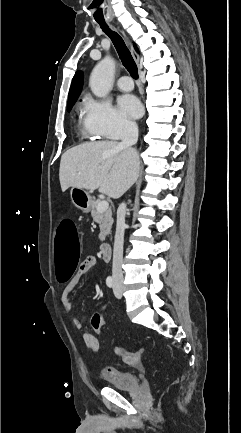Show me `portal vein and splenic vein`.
Instances as JSON below:
<instances>
[{
	"mask_svg": "<svg viewBox=\"0 0 241 433\" xmlns=\"http://www.w3.org/2000/svg\"><path fill=\"white\" fill-rule=\"evenodd\" d=\"M109 207V203L106 200H103L101 202H99L98 206H97V210L98 212L102 213L104 211H106Z\"/></svg>",
	"mask_w": 241,
	"mask_h": 433,
	"instance_id": "18ae733b",
	"label": "portal vein and splenic vein"
}]
</instances>
